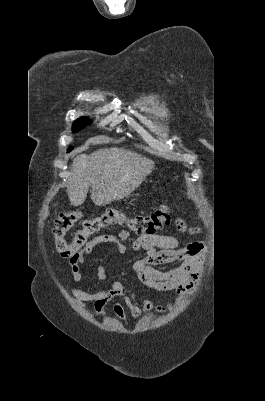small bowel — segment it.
Masks as SVG:
<instances>
[{
  "label": "small bowel",
  "mask_w": 265,
  "mask_h": 401,
  "mask_svg": "<svg viewBox=\"0 0 265 401\" xmlns=\"http://www.w3.org/2000/svg\"><path fill=\"white\" fill-rule=\"evenodd\" d=\"M176 226L180 231L197 233L198 229L190 228L182 218L176 219ZM131 242L133 251L138 258L133 264V270L139 281L145 286L157 290H175L178 300L187 298L194 290L203 264L204 245L201 242H191L181 246V242L174 236L151 234L130 238L129 232L123 230L118 235L101 234L89 240L84 248L69 258L72 277L78 284H83L80 267L86 263V257L90 256L93 249L102 243L114 246L115 250L123 254L127 251L126 243ZM182 261V264L168 271L158 270L155 267L161 264ZM97 279H106L104 265L96 269ZM71 293L81 306L86 302L94 304L93 315H105V306L112 300L113 311L116 317L126 321V308L130 314L138 318L144 312L152 310H165L155 306L150 300L143 299L142 306L136 300V293L128 294L124 283L115 281L108 289L87 292L79 288H71Z\"/></svg>",
  "instance_id": "small-bowel-1"
}]
</instances>
